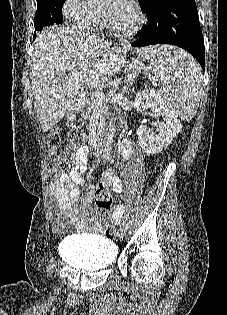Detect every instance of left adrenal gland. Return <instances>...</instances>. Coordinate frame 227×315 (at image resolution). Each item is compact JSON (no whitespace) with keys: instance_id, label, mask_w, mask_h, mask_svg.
Masks as SVG:
<instances>
[{"instance_id":"1","label":"left adrenal gland","mask_w":227,"mask_h":315,"mask_svg":"<svg viewBox=\"0 0 227 315\" xmlns=\"http://www.w3.org/2000/svg\"><path fill=\"white\" fill-rule=\"evenodd\" d=\"M136 77H137V73L136 72H134V73L129 75V77L127 79L126 86L124 88L126 91H128V92L131 91V88L129 89L128 85H132L134 83Z\"/></svg>"}]
</instances>
